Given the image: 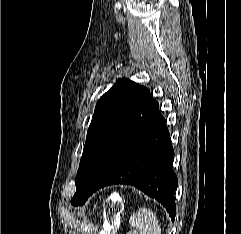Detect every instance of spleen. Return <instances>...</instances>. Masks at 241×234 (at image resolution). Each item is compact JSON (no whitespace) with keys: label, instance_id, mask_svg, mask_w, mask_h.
<instances>
[{"label":"spleen","instance_id":"1","mask_svg":"<svg viewBox=\"0 0 241 234\" xmlns=\"http://www.w3.org/2000/svg\"><path fill=\"white\" fill-rule=\"evenodd\" d=\"M129 223L134 229L128 234H161L157 216L149 208H139L136 213L131 215Z\"/></svg>","mask_w":241,"mask_h":234}]
</instances>
